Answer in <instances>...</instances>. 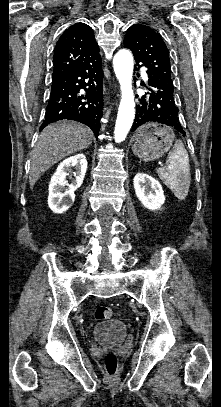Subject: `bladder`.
Wrapping results in <instances>:
<instances>
[{
    "instance_id": "31cf9c89",
    "label": "bladder",
    "mask_w": 221,
    "mask_h": 407,
    "mask_svg": "<svg viewBox=\"0 0 221 407\" xmlns=\"http://www.w3.org/2000/svg\"><path fill=\"white\" fill-rule=\"evenodd\" d=\"M127 333V325L122 319H112L109 323L96 325L93 335L99 340L118 342L124 339Z\"/></svg>"
}]
</instances>
